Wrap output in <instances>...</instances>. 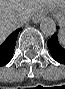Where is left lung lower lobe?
<instances>
[{
  "label": "left lung lower lobe",
  "mask_w": 65,
  "mask_h": 89,
  "mask_svg": "<svg viewBox=\"0 0 65 89\" xmlns=\"http://www.w3.org/2000/svg\"><path fill=\"white\" fill-rule=\"evenodd\" d=\"M48 49L57 62L65 64V42H61L57 35H53L47 41Z\"/></svg>",
  "instance_id": "obj_1"
}]
</instances>
